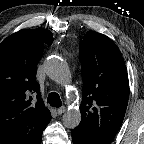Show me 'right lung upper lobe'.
<instances>
[{
	"label": "right lung upper lobe",
	"mask_w": 144,
	"mask_h": 144,
	"mask_svg": "<svg viewBox=\"0 0 144 144\" xmlns=\"http://www.w3.org/2000/svg\"><path fill=\"white\" fill-rule=\"evenodd\" d=\"M52 42L50 31L33 29L18 31L0 44V144L41 141L51 114L41 98L36 69L44 45Z\"/></svg>",
	"instance_id": "obj_1"
}]
</instances>
